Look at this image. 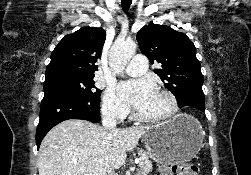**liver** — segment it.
Returning <instances> with one entry per match:
<instances>
[{
  "mask_svg": "<svg viewBox=\"0 0 251 175\" xmlns=\"http://www.w3.org/2000/svg\"><path fill=\"white\" fill-rule=\"evenodd\" d=\"M148 127L108 131L86 119H66L52 127L39 149V175H107L125 163Z\"/></svg>",
  "mask_w": 251,
  "mask_h": 175,
  "instance_id": "6515ba94",
  "label": "liver"
}]
</instances>
